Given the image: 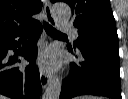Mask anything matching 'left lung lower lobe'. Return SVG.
I'll return each mask as SVG.
<instances>
[{"instance_id":"0a47b994","label":"left lung lower lobe","mask_w":128,"mask_h":99,"mask_svg":"<svg viewBox=\"0 0 128 99\" xmlns=\"http://www.w3.org/2000/svg\"><path fill=\"white\" fill-rule=\"evenodd\" d=\"M78 49L84 60L70 64V75L62 83L59 99L87 94L122 99L118 41L95 37L82 42ZM69 51L77 57L72 48Z\"/></svg>"}]
</instances>
